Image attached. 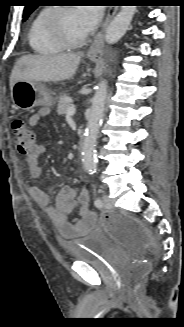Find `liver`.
I'll return each mask as SVG.
<instances>
[{"mask_svg": "<svg viewBox=\"0 0 184 327\" xmlns=\"http://www.w3.org/2000/svg\"><path fill=\"white\" fill-rule=\"evenodd\" d=\"M81 54L24 55L20 57L11 72L10 89L15 82H57L70 79L80 63Z\"/></svg>", "mask_w": 184, "mask_h": 327, "instance_id": "obj_1", "label": "liver"}]
</instances>
